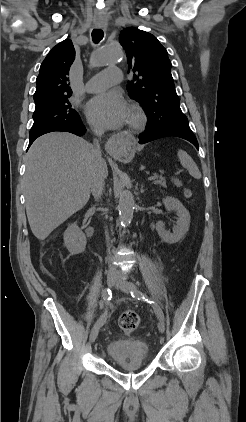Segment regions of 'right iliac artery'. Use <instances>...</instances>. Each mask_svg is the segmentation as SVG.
Instances as JSON below:
<instances>
[{"mask_svg":"<svg viewBox=\"0 0 246 422\" xmlns=\"http://www.w3.org/2000/svg\"><path fill=\"white\" fill-rule=\"evenodd\" d=\"M112 298V293L110 289H105L103 291V304L106 306L105 311L103 312V314L101 315V317L96 321L94 327H101L107 318V305L109 304V301Z\"/></svg>","mask_w":246,"mask_h":422,"instance_id":"right-iliac-artery-1","label":"right iliac artery"}]
</instances>
